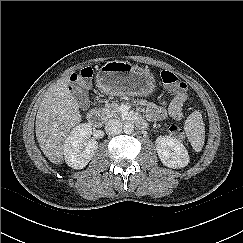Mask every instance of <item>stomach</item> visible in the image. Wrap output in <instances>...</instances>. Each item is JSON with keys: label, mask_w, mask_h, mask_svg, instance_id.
<instances>
[{"label": "stomach", "mask_w": 243, "mask_h": 243, "mask_svg": "<svg viewBox=\"0 0 243 243\" xmlns=\"http://www.w3.org/2000/svg\"><path fill=\"white\" fill-rule=\"evenodd\" d=\"M97 86L112 96H147L155 89V80L148 69L124 61H108L98 71Z\"/></svg>", "instance_id": "0dacf381"}]
</instances>
